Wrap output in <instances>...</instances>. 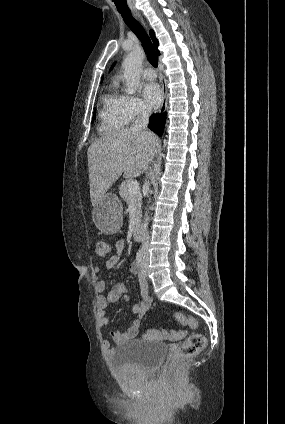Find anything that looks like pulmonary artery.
Returning <instances> with one entry per match:
<instances>
[{"label":"pulmonary artery","instance_id":"1","mask_svg":"<svg viewBox=\"0 0 285 424\" xmlns=\"http://www.w3.org/2000/svg\"><path fill=\"white\" fill-rule=\"evenodd\" d=\"M142 76L146 80H154V79H156L157 74H156L155 70H153L152 68H146V69L143 70Z\"/></svg>","mask_w":285,"mask_h":424}]
</instances>
